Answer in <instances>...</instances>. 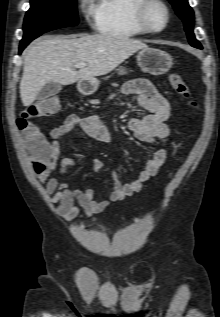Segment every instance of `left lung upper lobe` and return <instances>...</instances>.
Returning <instances> with one entry per match:
<instances>
[{"mask_svg":"<svg viewBox=\"0 0 220 317\" xmlns=\"http://www.w3.org/2000/svg\"><path fill=\"white\" fill-rule=\"evenodd\" d=\"M174 7L177 15L183 20L185 31L189 42L194 47H202L201 44L195 39L193 33V24H194V12L189 6L187 0H168Z\"/></svg>","mask_w":220,"mask_h":317,"instance_id":"left-lung-upper-lobe-1","label":"left lung upper lobe"}]
</instances>
